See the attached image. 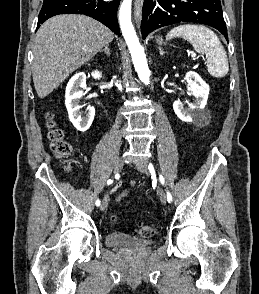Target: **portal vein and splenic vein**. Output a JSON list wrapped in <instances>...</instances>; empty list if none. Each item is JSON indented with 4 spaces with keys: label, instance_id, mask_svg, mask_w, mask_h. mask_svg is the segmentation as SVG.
I'll return each mask as SVG.
<instances>
[{
    "label": "portal vein and splenic vein",
    "instance_id": "obj_1",
    "mask_svg": "<svg viewBox=\"0 0 259 294\" xmlns=\"http://www.w3.org/2000/svg\"><path fill=\"white\" fill-rule=\"evenodd\" d=\"M191 57H192L193 59H196V54H191Z\"/></svg>",
    "mask_w": 259,
    "mask_h": 294
}]
</instances>
